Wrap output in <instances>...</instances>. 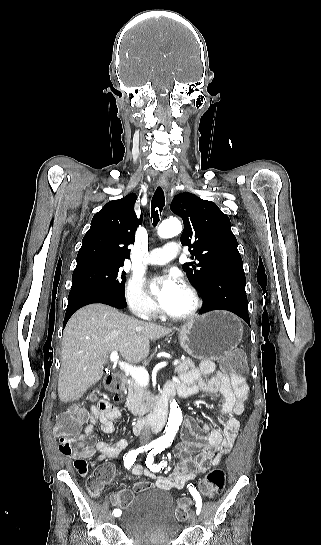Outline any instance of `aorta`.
<instances>
[{"mask_svg":"<svg viewBox=\"0 0 321 545\" xmlns=\"http://www.w3.org/2000/svg\"><path fill=\"white\" fill-rule=\"evenodd\" d=\"M182 231L181 222L176 218H170L164 220L158 227L157 233L161 238H172ZM182 422V412L178 407L175 400L170 403V414L167 426L165 428V434L159 439V441L165 445H169Z\"/></svg>","mask_w":321,"mask_h":545,"instance_id":"1","label":"aorta"}]
</instances>
